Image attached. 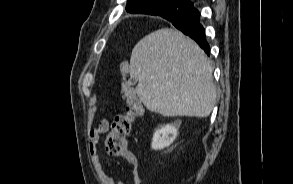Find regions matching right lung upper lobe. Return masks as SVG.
Returning <instances> with one entry per match:
<instances>
[{
    "mask_svg": "<svg viewBox=\"0 0 293 184\" xmlns=\"http://www.w3.org/2000/svg\"><path fill=\"white\" fill-rule=\"evenodd\" d=\"M193 6L190 0H128L126 10L134 14H148L167 18L178 10Z\"/></svg>",
    "mask_w": 293,
    "mask_h": 184,
    "instance_id": "1",
    "label": "right lung upper lobe"
}]
</instances>
